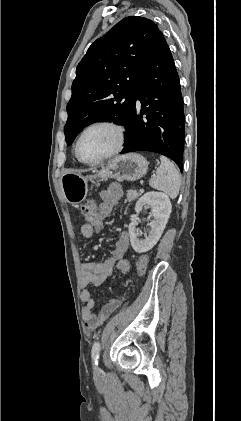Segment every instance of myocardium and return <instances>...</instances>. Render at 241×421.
Masks as SVG:
<instances>
[{
  "mask_svg": "<svg viewBox=\"0 0 241 421\" xmlns=\"http://www.w3.org/2000/svg\"><path fill=\"white\" fill-rule=\"evenodd\" d=\"M97 127H108L110 129H112L115 134H116V144L115 146L106 154H104L102 157L93 160V161H87L84 160L81 156H80V152H79V146H80V142L81 139L83 138V136L91 129L93 128H97ZM125 138H126V133H125V128L114 121H110V120H101V121H97L94 123H91L90 125H88L87 127H85L82 132L79 134L76 143H75V155L77 157V159L87 165H98L106 160H108L109 158L115 156L116 154H118L124 147V143H125Z\"/></svg>",
  "mask_w": 241,
  "mask_h": 421,
  "instance_id": "1",
  "label": "myocardium"
}]
</instances>
